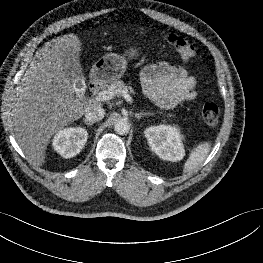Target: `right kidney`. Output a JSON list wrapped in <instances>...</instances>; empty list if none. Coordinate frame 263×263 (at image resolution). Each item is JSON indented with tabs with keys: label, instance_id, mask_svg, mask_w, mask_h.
<instances>
[{
	"label": "right kidney",
	"instance_id": "obj_1",
	"mask_svg": "<svg viewBox=\"0 0 263 263\" xmlns=\"http://www.w3.org/2000/svg\"><path fill=\"white\" fill-rule=\"evenodd\" d=\"M88 132L82 127H70L60 130L53 139V148L64 158L76 156L83 149Z\"/></svg>",
	"mask_w": 263,
	"mask_h": 263
}]
</instances>
